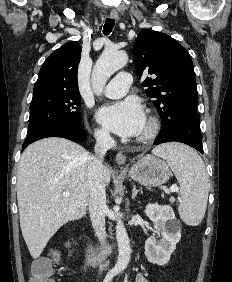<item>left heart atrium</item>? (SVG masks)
<instances>
[{
	"mask_svg": "<svg viewBox=\"0 0 232 282\" xmlns=\"http://www.w3.org/2000/svg\"><path fill=\"white\" fill-rule=\"evenodd\" d=\"M97 118L108 130L123 137L140 134L146 123L143 107L135 98L101 107Z\"/></svg>",
	"mask_w": 232,
	"mask_h": 282,
	"instance_id": "obj_1",
	"label": "left heart atrium"
}]
</instances>
